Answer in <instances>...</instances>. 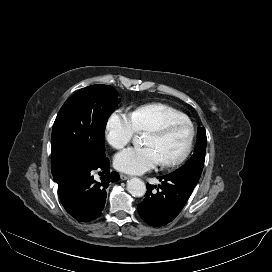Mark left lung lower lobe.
Listing matches in <instances>:
<instances>
[{"label": "left lung lower lobe", "instance_id": "1", "mask_svg": "<svg viewBox=\"0 0 272 272\" xmlns=\"http://www.w3.org/2000/svg\"><path fill=\"white\" fill-rule=\"evenodd\" d=\"M162 181L160 189L154 191L153 186L147 184L144 200L138 204L141 218L151 226H163L175 219L180 213L198 181L173 174L158 177Z\"/></svg>", "mask_w": 272, "mask_h": 272}]
</instances>
